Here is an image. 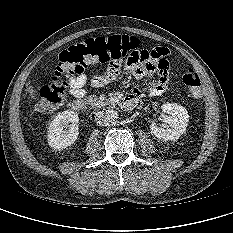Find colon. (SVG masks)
<instances>
[{
    "instance_id": "5ec220e1",
    "label": "colon",
    "mask_w": 233,
    "mask_h": 233,
    "mask_svg": "<svg viewBox=\"0 0 233 233\" xmlns=\"http://www.w3.org/2000/svg\"><path fill=\"white\" fill-rule=\"evenodd\" d=\"M137 48H141L139 39L128 35L89 38L71 45L60 53L52 82L37 92L35 111L59 106L64 101L65 91L71 79L84 73L91 63L107 64L111 60L119 61L128 51ZM182 81L193 97L202 96V82L194 70H186L182 75Z\"/></svg>"
}]
</instances>
